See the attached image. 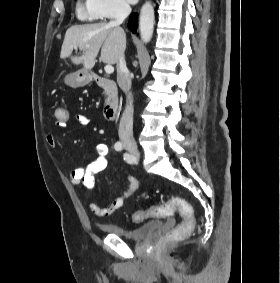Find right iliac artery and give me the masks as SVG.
Listing matches in <instances>:
<instances>
[{"label": "right iliac artery", "mask_w": 280, "mask_h": 283, "mask_svg": "<svg viewBox=\"0 0 280 283\" xmlns=\"http://www.w3.org/2000/svg\"><path fill=\"white\" fill-rule=\"evenodd\" d=\"M114 148L116 151H121L123 149V145L121 142H116Z\"/></svg>", "instance_id": "1"}]
</instances>
